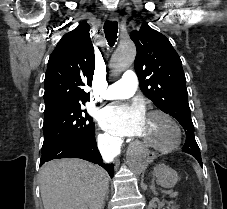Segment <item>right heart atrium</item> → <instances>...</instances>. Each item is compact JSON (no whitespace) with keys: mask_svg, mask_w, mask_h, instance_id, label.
I'll return each instance as SVG.
<instances>
[{"mask_svg":"<svg viewBox=\"0 0 227 209\" xmlns=\"http://www.w3.org/2000/svg\"><path fill=\"white\" fill-rule=\"evenodd\" d=\"M122 140L119 136L111 133H101L98 137L100 150L106 154H113L119 151Z\"/></svg>","mask_w":227,"mask_h":209,"instance_id":"obj_1","label":"right heart atrium"}]
</instances>
